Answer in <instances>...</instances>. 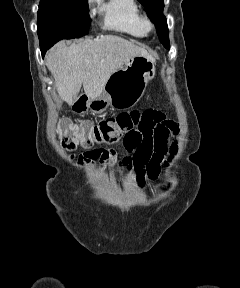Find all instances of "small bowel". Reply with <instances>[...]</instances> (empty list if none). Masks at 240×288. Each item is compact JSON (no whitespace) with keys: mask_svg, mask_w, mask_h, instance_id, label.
Instances as JSON below:
<instances>
[{"mask_svg":"<svg viewBox=\"0 0 240 288\" xmlns=\"http://www.w3.org/2000/svg\"><path fill=\"white\" fill-rule=\"evenodd\" d=\"M178 132V125L168 119L158 110L148 109L141 115L139 127L124 137L125 148L131 152L119 162L120 168L133 171L139 182L143 183L145 176L155 179L161 170V165L169 153L176 151L174 145L169 144V136ZM78 157L80 167L92 168L96 162L107 164L116 162L115 151L109 148L89 149ZM70 160L76 158L70 155Z\"/></svg>","mask_w":240,"mask_h":288,"instance_id":"small-bowel-1","label":"small bowel"}]
</instances>
